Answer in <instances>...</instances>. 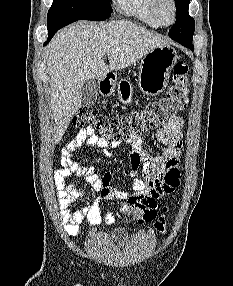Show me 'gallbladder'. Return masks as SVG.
<instances>
[{"label": "gallbladder", "instance_id": "1", "mask_svg": "<svg viewBox=\"0 0 233 286\" xmlns=\"http://www.w3.org/2000/svg\"><path fill=\"white\" fill-rule=\"evenodd\" d=\"M97 82L95 79H89L84 82L81 88L82 102L86 106H92L97 100Z\"/></svg>", "mask_w": 233, "mask_h": 286}]
</instances>
